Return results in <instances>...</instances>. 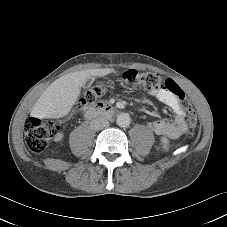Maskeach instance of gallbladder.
<instances>
[{
	"instance_id": "1",
	"label": "gallbladder",
	"mask_w": 227,
	"mask_h": 227,
	"mask_svg": "<svg viewBox=\"0 0 227 227\" xmlns=\"http://www.w3.org/2000/svg\"><path fill=\"white\" fill-rule=\"evenodd\" d=\"M93 81H94L93 77L87 79L86 82L84 83L83 87L89 88L92 85Z\"/></svg>"
}]
</instances>
